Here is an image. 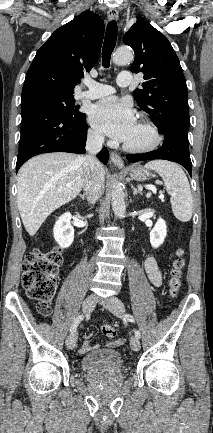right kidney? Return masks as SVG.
<instances>
[{"mask_svg":"<svg viewBox=\"0 0 213 433\" xmlns=\"http://www.w3.org/2000/svg\"><path fill=\"white\" fill-rule=\"evenodd\" d=\"M71 218V214L66 212L59 217L54 225V238L61 248L70 247L74 241V228L70 223Z\"/></svg>","mask_w":213,"mask_h":433,"instance_id":"1","label":"right kidney"}]
</instances>
